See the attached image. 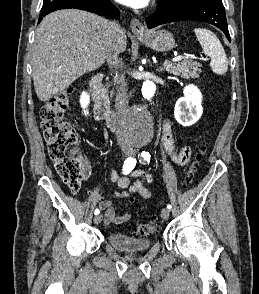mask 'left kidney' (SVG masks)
<instances>
[{
	"label": "left kidney",
	"instance_id": "left-kidney-1",
	"mask_svg": "<svg viewBox=\"0 0 259 294\" xmlns=\"http://www.w3.org/2000/svg\"><path fill=\"white\" fill-rule=\"evenodd\" d=\"M184 96L175 104L174 115L184 127L195 124L203 113L202 94L195 85H187L183 89Z\"/></svg>",
	"mask_w": 259,
	"mask_h": 294
}]
</instances>
